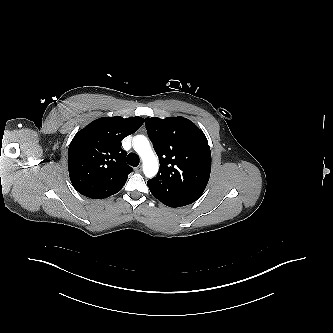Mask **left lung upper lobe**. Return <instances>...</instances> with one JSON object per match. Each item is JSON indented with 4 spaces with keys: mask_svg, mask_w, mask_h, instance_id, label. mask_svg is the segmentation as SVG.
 <instances>
[{
    "mask_svg": "<svg viewBox=\"0 0 333 333\" xmlns=\"http://www.w3.org/2000/svg\"><path fill=\"white\" fill-rule=\"evenodd\" d=\"M145 125L160 162L157 176L147 182L151 193L157 199L165 194L200 197L211 171L205 134L180 116L146 118Z\"/></svg>",
    "mask_w": 333,
    "mask_h": 333,
    "instance_id": "obj_1",
    "label": "left lung upper lobe"
}]
</instances>
